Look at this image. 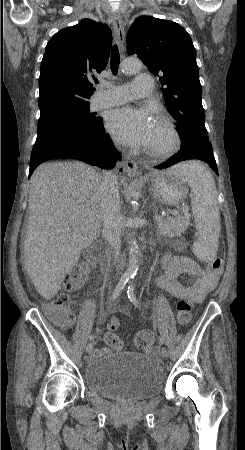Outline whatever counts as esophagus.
Returning <instances> with one entry per match:
<instances>
[{"label": "esophagus", "mask_w": 245, "mask_h": 450, "mask_svg": "<svg viewBox=\"0 0 245 450\" xmlns=\"http://www.w3.org/2000/svg\"><path fill=\"white\" fill-rule=\"evenodd\" d=\"M111 20L113 24L114 34L116 37L117 44L121 50H123L124 47V41H125V30H124V23L122 21V18L120 14L117 12H113L111 14ZM124 171L127 173V175L130 178H135L138 176V166L137 164L128 156L125 157L124 161Z\"/></svg>", "instance_id": "esophagus-1"}]
</instances>
